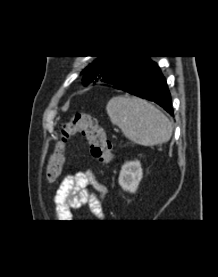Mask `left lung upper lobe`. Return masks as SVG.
I'll list each match as a JSON object with an SVG mask.
<instances>
[{"instance_id":"5c2ea615","label":"left lung upper lobe","mask_w":218,"mask_h":277,"mask_svg":"<svg viewBox=\"0 0 218 277\" xmlns=\"http://www.w3.org/2000/svg\"><path fill=\"white\" fill-rule=\"evenodd\" d=\"M94 62L89 64L84 72L83 83L89 84L91 81H104L112 73L125 67L136 56H98Z\"/></svg>"}]
</instances>
